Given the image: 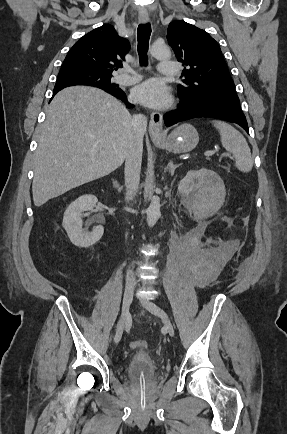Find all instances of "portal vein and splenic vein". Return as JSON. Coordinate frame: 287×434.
Here are the masks:
<instances>
[{
  "label": "portal vein and splenic vein",
  "mask_w": 287,
  "mask_h": 434,
  "mask_svg": "<svg viewBox=\"0 0 287 434\" xmlns=\"http://www.w3.org/2000/svg\"><path fill=\"white\" fill-rule=\"evenodd\" d=\"M215 150H211V151H206L205 153H204V155L205 156H207V157H210V156H212L213 154H215Z\"/></svg>",
  "instance_id": "18ae733b"
}]
</instances>
